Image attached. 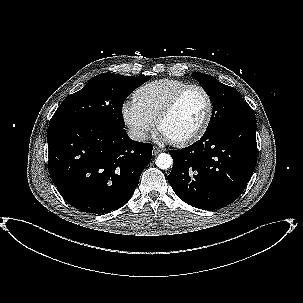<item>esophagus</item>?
<instances>
[{"label": "esophagus", "mask_w": 303, "mask_h": 303, "mask_svg": "<svg viewBox=\"0 0 303 303\" xmlns=\"http://www.w3.org/2000/svg\"><path fill=\"white\" fill-rule=\"evenodd\" d=\"M163 149L157 147V146H154L153 147V155H157L158 153L162 152Z\"/></svg>", "instance_id": "obj_1"}]
</instances>
